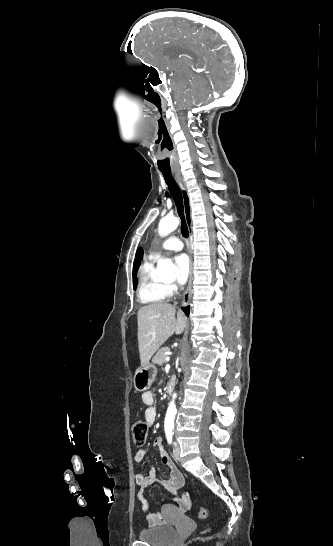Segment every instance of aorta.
<instances>
[{"label":"aorta","mask_w":333,"mask_h":546,"mask_svg":"<svg viewBox=\"0 0 333 546\" xmlns=\"http://www.w3.org/2000/svg\"><path fill=\"white\" fill-rule=\"evenodd\" d=\"M179 224V219L174 216H167L161 219L158 232L162 236H166L173 232ZM156 275L161 279L174 280L175 279V267L171 261L160 259L157 263ZM176 394L173 395L172 401L169 404L166 417H165V426L168 428H173L174 419L176 415V406L175 398Z\"/></svg>","instance_id":"obj_1"}]
</instances>
